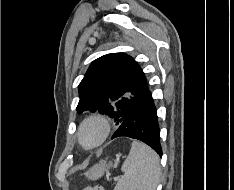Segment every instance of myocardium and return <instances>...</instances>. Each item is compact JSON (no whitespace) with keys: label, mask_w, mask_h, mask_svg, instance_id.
Returning a JSON list of instances; mask_svg holds the SVG:
<instances>
[{"label":"myocardium","mask_w":234,"mask_h":190,"mask_svg":"<svg viewBox=\"0 0 234 190\" xmlns=\"http://www.w3.org/2000/svg\"><path fill=\"white\" fill-rule=\"evenodd\" d=\"M90 128H94L97 130V137L93 142L86 143L84 140V133ZM109 133H110L109 121L102 115L94 114L88 116L80 124L77 132V138L83 148L94 149L104 143V141L109 136Z\"/></svg>","instance_id":"myocardium-1"}]
</instances>
